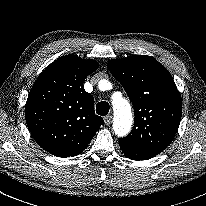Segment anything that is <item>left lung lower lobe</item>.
<instances>
[{
  "label": "left lung lower lobe",
  "mask_w": 206,
  "mask_h": 206,
  "mask_svg": "<svg viewBox=\"0 0 206 206\" xmlns=\"http://www.w3.org/2000/svg\"><path fill=\"white\" fill-rule=\"evenodd\" d=\"M121 150L125 154L127 158H130L132 160H146L153 158L155 155L145 153L141 150H138L134 147L124 145L122 143H119Z\"/></svg>",
  "instance_id": "1"
}]
</instances>
